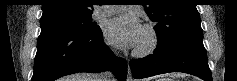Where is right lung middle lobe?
Listing matches in <instances>:
<instances>
[{
	"instance_id": "dd1d6c3e",
	"label": "right lung middle lobe",
	"mask_w": 237,
	"mask_h": 81,
	"mask_svg": "<svg viewBox=\"0 0 237 81\" xmlns=\"http://www.w3.org/2000/svg\"><path fill=\"white\" fill-rule=\"evenodd\" d=\"M41 29L61 28L73 30L83 34H97L101 31L92 23L91 15L54 17L40 20Z\"/></svg>"
}]
</instances>
